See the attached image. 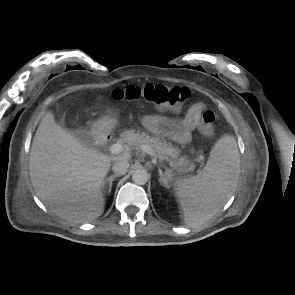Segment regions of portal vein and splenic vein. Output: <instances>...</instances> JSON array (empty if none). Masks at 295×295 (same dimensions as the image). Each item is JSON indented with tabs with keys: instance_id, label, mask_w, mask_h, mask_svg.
<instances>
[{
	"instance_id": "portal-vein-and-splenic-vein-1",
	"label": "portal vein and splenic vein",
	"mask_w": 295,
	"mask_h": 295,
	"mask_svg": "<svg viewBox=\"0 0 295 295\" xmlns=\"http://www.w3.org/2000/svg\"><path fill=\"white\" fill-rule=\"evenodd\" d=\"M141 149L151 156H156L155 151L148 145H142ZM122 151H123V145L120 143H115L110 146V152L113 154H119Z\"/></svg>"
}]
</instances>
